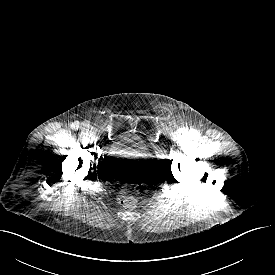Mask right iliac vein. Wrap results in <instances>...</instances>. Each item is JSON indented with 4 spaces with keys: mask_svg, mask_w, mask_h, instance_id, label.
Wrapping results in <instances>:
<instances>
[{
    "mask_svg": "<svg viewBox=\"0 0 275 275\" xmlns=\"http://www.w3.org/2000/svg\"><path fill=\"white\" fill-rule=\"evenodd\" d=\"M88 126L86 125V124H83L82 126H81V129H84V128H87Z\"/></svg>",
    "mask_w": 275,
    "mask_h": 275,
    "instance_id": "63e3f726",
    "label": "right iliac vein"
}]
</instances>
